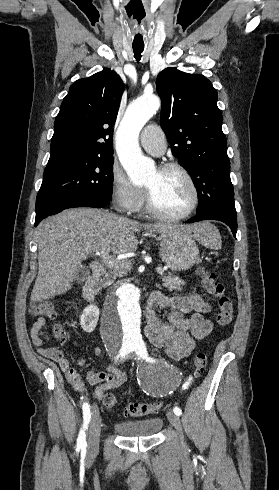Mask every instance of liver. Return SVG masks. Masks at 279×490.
<instances>
[{
  "label": "liver",
  "instance_id": "1",
  "mask_svg": "<svg viewBox=\"0 0 279 490\" xmlns=\"http://www.w3.org/2000/svg\"><path fill=\"white\" fill-rule=\"evenodd\" d=\"M175 232L199 238L206 222L191 226L139 224L110 214L108 210L72 208L43 220L36 230L38 242V276L31 292V302L48 300L72 288L81 262L97 252L134 254L138 240L135 232Z\"/></svg>",
  "mask_w": 279,
  "mask_h": 490
}]
</instances>
